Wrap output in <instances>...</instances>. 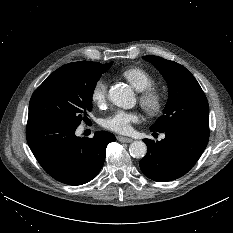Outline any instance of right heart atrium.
<instances>
[{
  "label": "right heart atrium",
  "instance_id": "1",
  "mask_svg": "<svg viewBox=\"0 0 233 233\" xmlns=\"http://www.w3.org/2000/svg\"><path fill=\"white\" fill-rule=\"evenodd\" d=\"M108 84L105 80L99 79L93 85L91 91L92 102L97 106H104L107 101Z\"/></svg>",
  "mask_w": 233,
  "mask_h": 233
}]
</instances>
